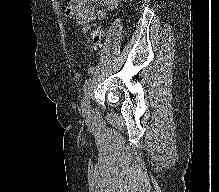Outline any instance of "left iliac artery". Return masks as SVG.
<instances>
[{
	"mask_svg": "<svg viewBox=\"0 0 219 192\" xmlns=\"http://www.w3.org/2000/svg\"><path fill=\"white\" fill-rule=\"evenodd\" d=\"M92 83V79L89 78V79H86L85 82H84V86H83V94H84V97L86 98L89 94V90H90V85Z\"/></svg>",
	"mask_w": 219,
	"mask_h": 192,
	"instance_id": "44dca946",
	"label": "left iliac artery"
}]
</instances>
